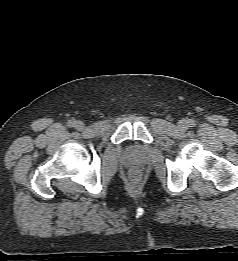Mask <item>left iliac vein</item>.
<instances>
[{
  "label": "left iliac vein",
  "instance_id": "4c4485c4",
  "mask_svg": "<svg viewBox=\"0 0 238 261\" xmlns=\"http://www.w3.org/2000/svg\"><path fill=\"white\" fill-rule=\"evenodd\" d=\"M186 125H187V123H186V121H184V120H181V121L179 122V126H180L181 128L186 127Z\"/></svg>",
  "mask_w": 238,
  "mask_h": 261
}]
</instances>
